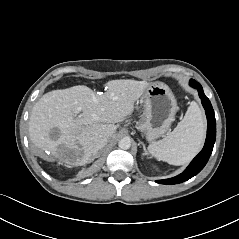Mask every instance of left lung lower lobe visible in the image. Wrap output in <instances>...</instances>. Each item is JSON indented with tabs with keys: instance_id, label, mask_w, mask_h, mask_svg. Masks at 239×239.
<instances>
[{
	"instance_id": "left-lung-lower-lobe-1",
	"label": "left lung lower lobe",
	"mask_w": 239,
	"mask_h": 239,
	"mask_svg": "<svg viewBox=\"0 0 239 239\" xmlns=\"http://www.w3.org/2000/svg\"><path fill=\"white\" fill-rule=\"evenodd\" d=\"M190 85L197 89L199 93V97L201 99L202 105L205 109L208 126H207V136L205 145L202 151L192 160L189 166L176 177L164 179V180H157V183L161 184H179L184 181L189 180L193 176L197 175L206 165L209 160V157L212 153L213 146L216 139V120L214 110L209 99L205 96L202 86L197 83L195 80H190Z\"/></svg>"
}]
</instances>
